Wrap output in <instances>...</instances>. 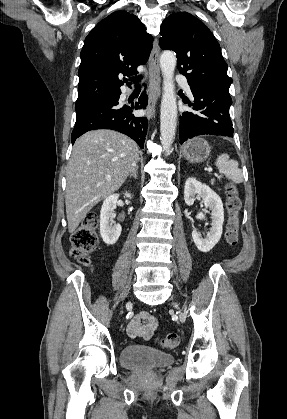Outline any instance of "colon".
I'll use <instances>...</instances> for the list:
<instances>
[{"instance_id":"1","label":"colon","mask_w":287,"mask_h":419,"mask_svg":"<svg viewBox=\"0 0 287 419\" xmlns=\"http://www.w3.org/2000/svg\"><path fill=\"white\" fill-rule=\"evenodd\" d=\"M241 200L236 188L229 184L226 186V209L228 222L226 228V240L231 246L238 243L239 213ZM98 215L89 213L76 231L71 236V256L83 265L89 264V255L98 246L97 235ZM179 344V338L174 333H169L160 339V345L166 349H173Z\"/></svg>"}]
</instances>
